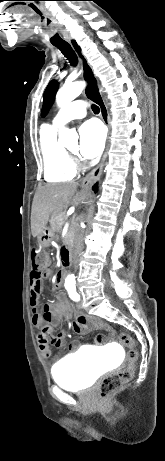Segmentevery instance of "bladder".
Wrapping results in <instances>:
<instances>
[{"instance_id":"obj_1","label":"bladder","mask_w":165,"mask_h":461,"mask_svg":"<svg viewBox=\"0 0 165 461\" xmlns=\"http://www.w3.org/2000/svg\"><path fill=\"white\" fill-rule=\"evenodd\" d=\"M106 365V361L100 360L95 351H79L55 364L51 374L59 386L81 391L92 386L105 371Z\"/></svg>"}]
</instances>
